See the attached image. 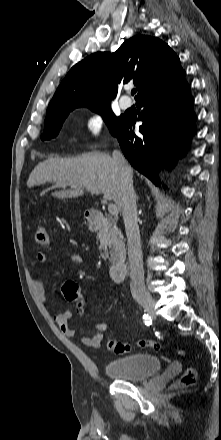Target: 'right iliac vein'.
<instances>
[{
	"label": "right iliac vein",
	"instance_id": "1",
	"mask_svg": "<svg viewBox=\"0 0 221 440\" xmlns=\"http://www.w3.org/2000/svg\"><path fill=\"white\" fill-rule=\"evenodd\" d=\"M140 304L144 308L145 312L150 315L151 317H154L155 310H154V300L152 297L147 296L144 299L140 301Z\"/></svg>",
	"mask_w": 221,
	"mask_h": 440
}]
</instances>
